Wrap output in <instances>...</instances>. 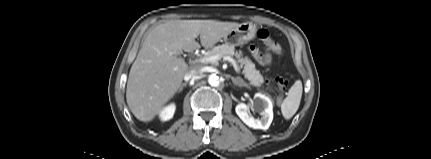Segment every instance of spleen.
<instances>
[{
    "label": "spleen",
    "instance_id": "1",
    "mask_svg": "<svg viewBox=\"0 0 431 159\" xmlns=\"http://www.w3.org/2000/svg\"><path fill=\"white\" fill-rule=\"evenodd\" d=\"M302 82L297 80L289 89L287 97L281 104V112L285 119H290L297 112L302 97Z\"/></svg>",
    "mask_w": 431,
    "mask_h": 159
}]
</instances>
